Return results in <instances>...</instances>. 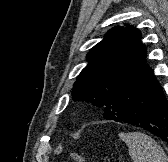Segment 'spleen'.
I'll use <instances>...</instances> for the list:
<instances>
[{
	"instance_id": "spleen-1",
	"label": "spleen",
	"mask_w": 168,
	"mask_h": 162,
	"mask_svg": "<svg viewBox=\"0 0 168 162\" xmlns=\"http://www.w3.org/2000/svg\"><path fill=\"white\" fill-rule=\"evenodd\" d=\"M119 138L127 144L133 162H168L162 147L144 133H119Z\"/></svg>"
}]
</instances>
